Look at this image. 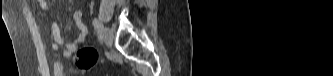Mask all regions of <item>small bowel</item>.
<instances>
[{
	"mask_svg": "<svg viewBox=\"0 0 333 76\" xmlns=\"http://www.w3.org/2000/svg\"><path fill=\"white\" fill-rule=\"evenodd\" d=\"M39 8L43 11L50 10V3L47 0H37L36 1ZM73 20L78 28V35L69 42H65L61 29L56 21H52L51 23V31L53 36V42L51 44V48L57 57L68 58L72 56L80 45H82L86 41V37L88 34L87 26L82 21V11L76 10L73 13ZM53 71L55 76H64V69L61 63H55L53 65Z\"/></svg>",
	"mask_w": 333,
	"mask_h": 76,
	"instance_id": "1",
	"label": "small bowel"
}]
</instances>
